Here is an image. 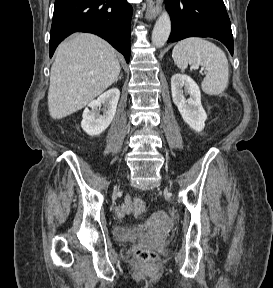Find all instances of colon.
<instances>
[{
  "label": "colon",
  "mask_w": 273,
  "mask_h": 288,
  "mask_svg": "<svg viewBox=\"0 0 273 288\" xmlns=\"http://www.w3.org/2000/svg\"><path fill=\"white\" fill-rule=\"evenodd\" d=\"M131 211L141 218L144 217L145 211H146V204L145 202L140 198H134L131 201ZM136 256L139 260L146 264H154L157 260V255L149 250L146 249H138L136 251Z\"/></svg>",
  "instance_id": "1"
}]
</instances>
